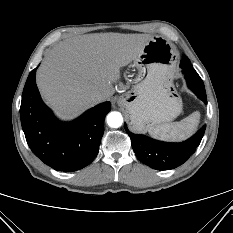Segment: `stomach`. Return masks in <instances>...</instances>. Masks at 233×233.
I'll return each mask as SVG.
<instances>
[{
  "mask_svg": "<svg viewBox=\"0 0 233 233\" xmlns=\"http://www.w3.org/2000/svg\"><path fill=\"white\" fill-rule=\"evenodd\" d=\"M177 59L175 47L155 36L133 61L132 67L137 70L134 85L119 98L133 130L141 132L169 123L182 112V99L173 84Z\"/></svg>",
  "mask_w": 233,
  "mask_h": 233,
  "instance_id": "1",
  "label": "stomach"
}]
</instances>
